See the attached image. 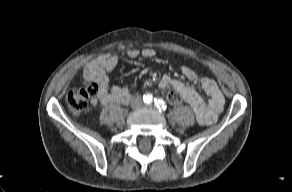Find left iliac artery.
Returning a JSON list of instances; mask_svg holds the SVG:
<instances>
[{"instance_id":"44dca946","label":"left iliac artery","mask_w":292,"mask_h":192,"mask_svg":"<svg viewBox=\"0 0 292 192\" xmlns=\"http://www.w3.org/2000/svg\"><path fill=\"white\" fill-rule=\"evenodd\" d=\"M154 103L159 111H165L167 109L165 101L161 98H154Z\"/></svg>"}]
</instances>
